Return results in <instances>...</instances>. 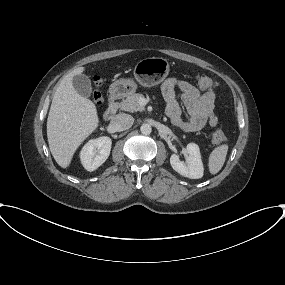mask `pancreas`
I'll list each match as a JSON object with an SVG mask.
<instances>
[{
    "label": "pancreas",
    "instance_id": "pancreas-1",
    "mask_svg": "<svg viewBox=\"0 0 285 285\" xmlns=\"http://www.w3.org/2000/svg\"><path fill=\"white\" fill-rule=\"evenodd\" d=\"M142 97V94L132 93L128 95L126 99H123L120 103H117V106L121 110L128 112L144 111V106L139 104V99Z\"/></svg>",
    "mask_w": 285,
    "mask_h": 285
}]
</instances>
